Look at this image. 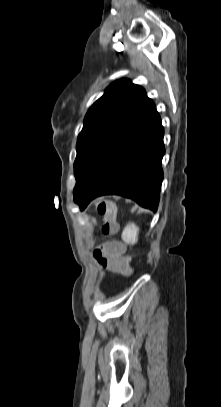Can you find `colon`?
Instances as JSON below:
<instances>
[{
    "label": "colon",
    "mask_w": 221,
    "mask_h": 407,
    "mask_svg": "<svg viewBox=\"0 0 221 407\" xmlns=\"http://www.w3.org/2000/svg\"><path fill=\"white\" fill-rule=\"evenodd\" d=\"M97 210L103 217L102 233L106 236L114 235L118 231L116 222V206L109 200H99ZM124 242L119 239H106L102 245L94 250V258L104 268L119 272L124 279H129L135 268L131 265L128 255H122Z\"/></svg>",
    "instance_id": "5ec220e1"
}]
</instances>
